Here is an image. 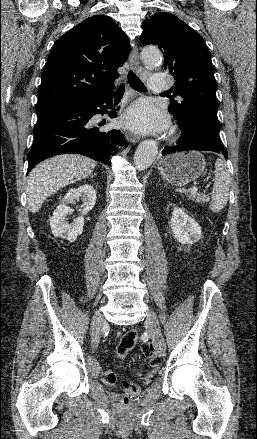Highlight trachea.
I'll return each instance as SVG.
<instances>
[{
	"label": "trachea",
	"mask_w": 257,
	"mask_h": 439,
	"mask_svg": "<svg viewBox=\"0 0 257 439\" xmlns=\"http://www.w3.org/2000/svg\"><path fill=\"white\" fill-rule=\"evenodd\" d=\"M128 82L130 85L137 91L145 92L146 87L143 84V82L136 76V74L133 71H129L128 75ZM124 93V85L121 84L118 89L115 92L116 96H121Z\"/></svg>",
	"instance_id": "1"
}]
</instances>
